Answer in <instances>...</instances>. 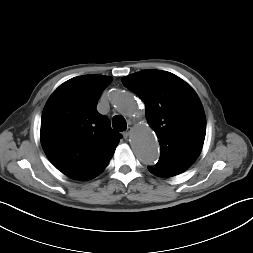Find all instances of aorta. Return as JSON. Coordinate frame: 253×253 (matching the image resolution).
Wrapping results in <instances>:
<instances>
[{
  "label": "aorta",
  "instance_id": "aorta-1",
  "mask_svg": "<svg viewBox=\"0 0 253 253\" xmlns=\"http://www.w3.org/2000/svg\"><path fill=\"white\" fill-rule=\"evenodd\" d=\"M111 103L119 113L128 117L134 116L137 111L136 99L124 90L113 91ZM131 143L134 153L142 163L150 165L156 162L159 157V143L148 125L141 124L134 128Z\"/></svg>",
  "mask_w": 253,
  "mask_h": 253
}]
</instances>
